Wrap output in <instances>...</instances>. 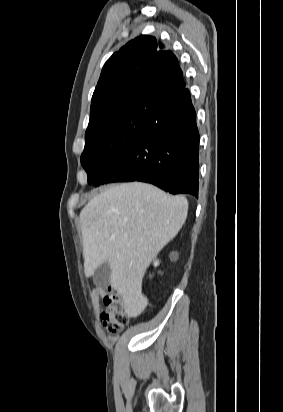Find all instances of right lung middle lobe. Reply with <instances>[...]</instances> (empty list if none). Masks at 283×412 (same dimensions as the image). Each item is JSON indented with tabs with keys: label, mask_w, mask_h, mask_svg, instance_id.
Returning <instances> with one entry per match:
<instances>
[{
	"label": "right lung middle lobe",
	"mask_w": 283,
	"mask_h": 412,
	"mask_svg": "<svg viewBox=\"0 0 283 412\" xmlns=\"http://www.w3.org/2000/svg\"><path fill=\"white\" fill-rule=\"evenodd\" d=\"M162 108L158 104H135L87 128L81 164L88 174L89 184H93L122 157Z\"/></svg>",
	"instance_id": "right-lung-middle-lobe-1"
}]
</instances>
